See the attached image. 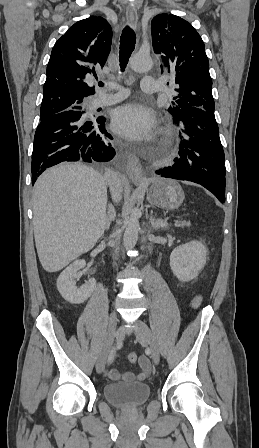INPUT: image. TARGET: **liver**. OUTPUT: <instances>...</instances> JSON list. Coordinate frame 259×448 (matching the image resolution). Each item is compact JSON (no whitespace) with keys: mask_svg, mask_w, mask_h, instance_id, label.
Returning <instances> with one entry per match:
<instances>
[{"mask_svg":"<svg viewBox=\"0 0 259 448\" xmlns=\"http://www.w3.org/2000/svg\"><path fill=\"white\" fill-rule=\"evenodd\" d=\"M107 182L81 162L58 164L33 188V226L38 258L59 272L94 248L107 224Z\"/></svg>","mask_w":259,"mask_h":448,"instance_id":"1","label":"liver"}]
</instances>
